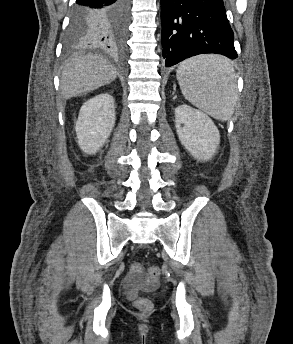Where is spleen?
Wrapping results in <instances>:
<instances>
[{
	"mask_svg": "<svg viewBox=\"0 0 293 344\" xmlns=\"http://www.w3.org/2000/svg\"><path fill=\"white\" fill-rule=\"evenodd\" d=\"M176 77L184 97L194 106L226 121L237 100L236 75L233 66L220 55H199L185 60Z\"/></svg>",
	"mask_w": 293,
	"mask_h": 344,
	"instance_id": "obj_1",
	"label": "spleen"
}]
</instances>
